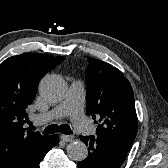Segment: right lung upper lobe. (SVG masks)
Masks as SVG:
<instances>
[{
	"label": "right lung upper lobe",
	"mask_w": 168,
	"mask_h": 168,
	"mask_svg": "<svg viewBox=\"0 0 168 168\" xmlns=\"http://www.w3.org/2000/svg\"><path fill=\"white\" fill-rule=\"evenodd\" d=\"M64 57L21 54L0 64V168H20L44 148L50 136L24 128L40 79Z\"/></svg>",
	"instance_id": "obj_1"
}]
</instances>
